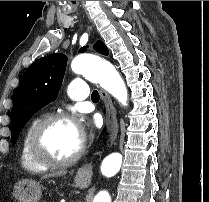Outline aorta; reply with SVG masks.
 <instances>
[{"mask_svg":"<svg viewBox=\"0 0 209 202\" xmlns=\"http://www.w3.org/2000/svg\"><path fill=\"white\" fill-rule=\"evenodd\" d=\"M71 69L74 73L99 84L122 105H127L128 92L125 83L111 63L92 55H78L72 60ZM121 164L122 156L119 153H111L103 159L101 172L106 177H112L120 170ZM93 202H111V197L107 191H100Z\"/></svg>","mask_w":209,"mask_h":202,"instance_id":"obj_1","label":"aorta"}]
</instances>
